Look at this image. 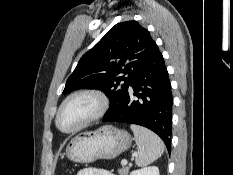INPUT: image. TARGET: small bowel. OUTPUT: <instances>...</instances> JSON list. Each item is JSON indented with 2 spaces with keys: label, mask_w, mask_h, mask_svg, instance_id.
<instances>
[{
  "label": "small bowel",
  "mask_w": 233,
  "mask_h": 175,
  "mask_svg": "<svg viewBox=\"0 0 233 175\" xmlns=\"http://www.w3.org/2000/svg\"><path fill=\"white\" fill-rule=\"evenodd\" d=\"M76 175H115V174L107 170L89 167L79 170Z\"/></svg>",
  "instance_id": "small-bowel-1"
}]
</instances>
